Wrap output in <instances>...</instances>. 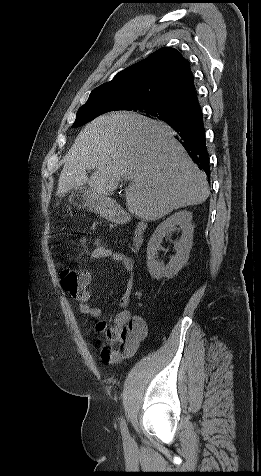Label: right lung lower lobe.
Returning a JSON list of instances; mask_svg holds the SVG:
<instances>
[{
	"mask_svg": "<svg viewBox=\"0 0 261 476\" xmlns=\"http://www.w3.org/2000/svg\"><path fill=\"white\" fill-rule=\"evenodd\" d=\"M177 133L178 140L193 161L210 177L209 155L206 148L203 113L199 103L177 119L166 122Z\"/></svg>",
	"mask_w": 261,
	"mask_h": 476,
	"instance_id": "obj_1",
	"label": "right lung lower lobe"
}]
</instances>
